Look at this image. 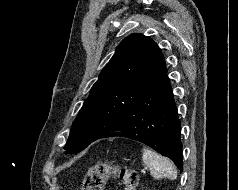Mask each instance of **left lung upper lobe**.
Returning a JSON list of instances; mask_svg holds the SVG:
<instances>
[{
    "label": "left lung upper lobe",
    "mask_w": 238,
    "mask_h": 190,
    "mask_svg": "<svg viewBox=\"0 0 238 190\" xmlns=\"http://www.w3.org/2000/svg\"><path fill=\"white\" fill-rule=\"evenodd\" d=\"M165 69L158 45L134 33L117 47L72 124L64 149L78 153L110 133L121 115Z\"/></svg>",
    "instance_id": "obj_1"
}]
</instances>
